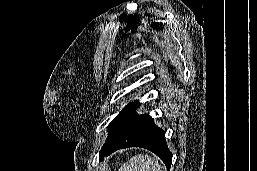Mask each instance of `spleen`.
<instances>
[{"instance_id": "1", "label": "spleen", "mask_w": 257, "mask_h": 171, "mask_svg": "<svg viewBox=\"0 0 257 171\" xmlns=\"http://www.w3.org/2000/svg\"><path fill=\"white\" fill-rule=\"evenodd\" d=\"M119 171H166L159 161L147 154H138L123 164Z\"/></svg>"}]
</instances>
